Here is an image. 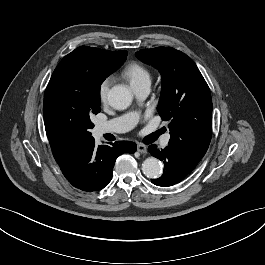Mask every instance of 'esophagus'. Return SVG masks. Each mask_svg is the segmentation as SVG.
<instances>
[{"label": "esophagus", "mask_w": 265, "mask_h": 265, "mask_svg": "<svg viewBox=\"0 0 265 265\" xmlns=\"http://www.w3.org/2000/svg\"><path fill=\"white\" fill-rule=\"evenodd\" d=\"M137 151L140 153H146L147 152V146L144 144L139 143L137 145Z\"/></svg>", "instance_id": "34e87169"}]
</instances>
